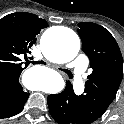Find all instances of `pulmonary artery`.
Here are the masks:
<instances>
[{
  "instance_id": "obj_1",
  "label": "pulmonary artery",
  "mask_w": 124,
  "mask_h": 124,
  "mask_svg": "<svg viewBox=\"0 0 124 124\" xmlns=\"http://www.w3.org/2000/svg\"><path fill=\"white\" fill-rule=\"evenodd\" d=\"M88 66V58L85 55L78 56L67 67L73 72V86L77 94L83 92L84 89V73Z\"/></svg>"
}]
</instances>
